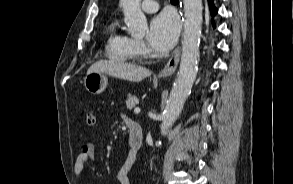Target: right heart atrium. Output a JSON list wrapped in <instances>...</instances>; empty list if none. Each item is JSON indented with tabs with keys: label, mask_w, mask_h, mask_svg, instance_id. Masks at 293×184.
Segmentation results:
<instances>
[{
	"label": "right heart atrium",
	"mask_w": 293,
	"mask_h": 184,
	"mask_svg": "<svg viewBox=\"0 0 293 184\" xmlns=\"http://www.w3.org/2000/svg\"><path fill=\"white\" fill-rule=\"evenodd\" d=\"M134 47L138 55L143 56L148 53V48L142 40L134 39Z\"/></svg>",
	"instance_id": "d8ad5b80"
}]
</instances>
